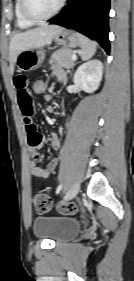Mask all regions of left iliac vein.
<instances>
[{
	"label": "left iliac vein",
	"instance_id": "1",
	"mask_svg": "<svg viewBox=\"0 0 134 281\" xmlns=\"http://www.w3.org/2000/svg\"><path fill=\"white\" fill-rule=\"evenodd\" d=\"M80 190V183L76 182L68 191L66 197H65V201H69L71 199H73L79 192Z\"/></svg>",
	"mask_w": 134,
	"mask_h": 281
}]
</instances>
